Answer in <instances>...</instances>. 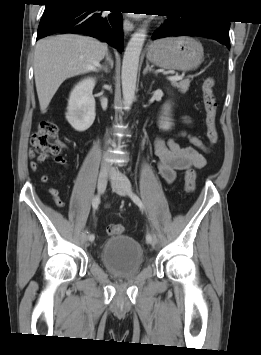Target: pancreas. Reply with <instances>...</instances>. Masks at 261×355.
Segmentation results:
<instances>
[{
    "mask_svg": "<svg viewBox=\"0 0 261 355\" xmlns=\"http://www.w3.org/2000/svg\"><path fill=\"white\" fill-rule=\"evenodd\" d=\"M172 85L174 87H177L181 93H185L188 91V88L190 86V80L189 79H185V80H181L180 82L177 81H173Z\"/></svg>",
    "mask_w": 261,
    "mask_h": 355,
    "instance_id": "cf45deb5",
    "label": "pancreas"
}]
</instances>
